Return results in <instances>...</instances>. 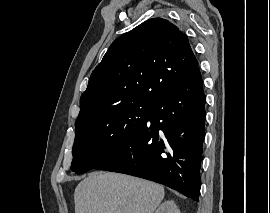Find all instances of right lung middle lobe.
Listing matches in <instances>:
<instances>
[{"mask_svg":"<svg viewBox=\"0 0 270 213\" xmlns=\"http://www.w3.org/2000/svg\"><path fill=\"white\" fill-rule=\"evenodd\" d=\"M153 105L134 102L75 123L71 170L85 173L109 158L145 123Z\"/></svg>","mask_w":270,"mask_h":213,"instance_id":"obj_1","label":"right lung middle lobe"}]
</instances>
